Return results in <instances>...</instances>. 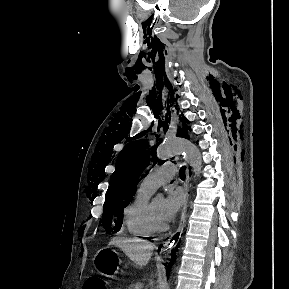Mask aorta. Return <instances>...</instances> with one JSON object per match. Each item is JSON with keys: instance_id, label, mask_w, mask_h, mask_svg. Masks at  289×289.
<instances>
[{"instance_id": "762f6f07", "label": "aorta", "mask_w": 289, "mask_h": 289, "mask_svg": "<svg viewBox=\"0 0 289 289\" xmlns=\"http://www.w3.org/2000/svg\"><path fill=\"white\" fill-rule=\"evenodd\" d=\"M176 156H183L192 167L195 176H199L202 169V158L195 144L180 137L166 138L157 149V158L163 161ZM161 197V194L157 195V198Z\"/></svg>"}]
</instances>
